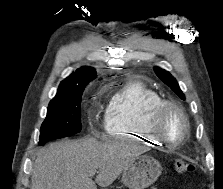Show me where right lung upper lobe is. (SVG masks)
Masks as SVG:
<instances>
[{"label": "right lung upper lobe", "mask_w": 223, "mask_h": 189, "mask_svg": "<svg viewBox=\"0 0 223 189\" xmlns=\"http://www.w3.org/2000/svg\"><path fill=\"white\" fill-rule=\"evenodd\" d=\"M96 76L97 74L93 68L82 67L60 83L56 96H69L83 91L86 85Z\"/></svg>", "instance_id": "right-lung-upper-lobe-1"}]
</instances>
